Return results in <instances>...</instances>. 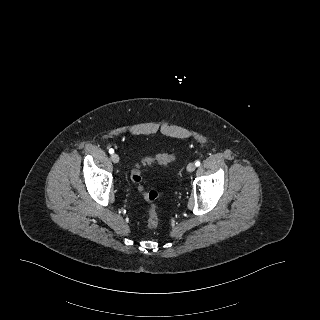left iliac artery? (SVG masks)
Listing matches in <instances>:
<instances>
[{"label":"left iliac artery","instance_id":"44dca946","mask_svg":"<svg viewBox=\"0 0 320 320\" xmlns=\"http://www.w3.org/2000/svg\"><path fill=\"white\" fill-rule=\"evenodd\" d=\"M195 165L198 167V166L201 165V162H200V161H196V162H195Z\"/></svg>","mask_w":320,"mask_h":320}]
</instances>
